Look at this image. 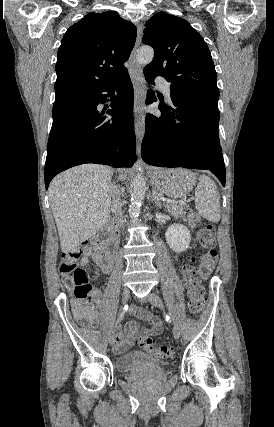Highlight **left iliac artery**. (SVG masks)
I'll return each instance as SVG.
<instances>
[{
  "instance_id": "44dca946",
  "label": "left iliac artery",
  "mask_w": 274,
  "mask_h": 427,
  "mask_svg": "<svg viewBox=\"0 0 274 427\" xmlns=\"http://www.w3.org/2000/svg\"><path fill=\"white\" fill-rule=\"evenodd\" d=\"M164 315H165V320H166L167 322H171V318H170V316H169L168 314H165V313H164Z\"/></svg>"
}]
</instances>
